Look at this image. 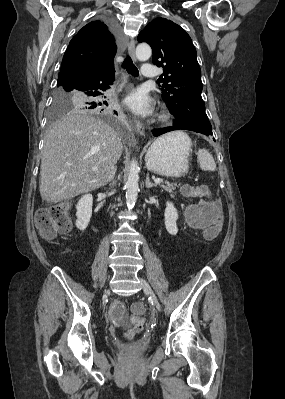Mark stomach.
<instances>
[{"mask_svg": "<svg viewBox=\"0 0 285 399\" xmlns=\"http://www.w3.org/2000/svg\"><path fill=\"white\" fill-rule=\"evenodd\" d=\"M191 141L180 131L158 138L148 149L145 161L148 170L171 177H180L188 171Z\"/></svg>", "mask_w": 285, "mask_h": 399, "instance_id": "stomach-1", "label": "stomach"}]
</instances>
